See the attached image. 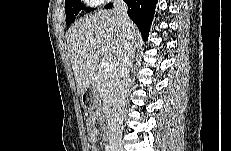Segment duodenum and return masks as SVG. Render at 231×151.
Wrapping results in <instances>:
<instances>
[{
  "mask_svg": "<svg viewBox=\"0 0 231 151\" xmlns=\"http://www.w3.org/2000/svg\"><path fill=\"white\" fill-rule=\"evenodd\" d=\"M106 119H107V122H108V125H109V128L111 127V123H112V119H113V115L111 112H107L106 114Z\"/></svg>",
  "mask_w": 231,
  "mask_h": 151,
  "instance_id": "410a0bca",
  "label": "duodenum"
}]
</instances>
